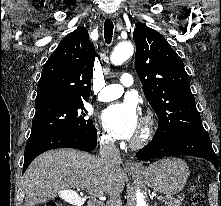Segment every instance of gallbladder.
<instances>
[{"instance_id":"obj_1","label":"gallbladder","mask_w":221,"mask_h":206,"mask_svg":"<svg viewBox=\"0 0 221 206\" xmlns=\"http://www.w3.org/2000/svg\"><path fill=\"white\" fill-rule=\"evenodd\" d=\"M61 197L67 198V205L71 206H82L78 202H84V197H80V193H70L69 189H64Z\"/></svg>"}]
</instances>
